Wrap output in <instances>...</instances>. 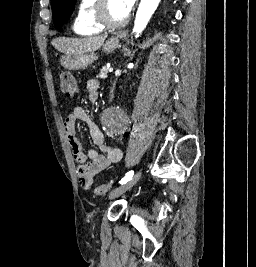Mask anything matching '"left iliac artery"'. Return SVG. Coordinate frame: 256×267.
Returning <instances> with one entry per match:
<instances>
[{
  "label": "left iliac artery",
  "instance_id": "44dca946",
  "mask_svg": "<svg viewBox=\"0 0 256 267\" xmlns=\"http://www.w3.org/2000/svg\"><path fill=\"white\" fill-rule=\"evenodd\" d=\"M134 175V171H129L128 173H126L125 177L121 179V181H119L120 184H123L127 181H129Z\"/></svg>",
  "mask_w": 256,
  "mask_h": 267
}]
</instances>
